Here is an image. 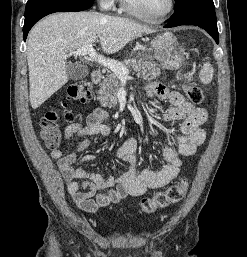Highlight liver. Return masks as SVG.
I'll return each mask as SVG.
<instances>
[{
    "instance_id": "obj_1",
    "label": "liver",
    "mask_w": 247,
    "mask_h": 257,
    "mask_svg": "<svg viewBox=\"0 0 247 257\" xmlns=\"http://www.w3.org/2000/svg\"><path fill=\"white\" fill-rule=\"evenodd\" d=\"M153 30L129 19L97 12L49 15L37 23L27 40L30 103L37 109L68 81V53L100 41L113 54Z\"/></svg>"
}]
</instances>
